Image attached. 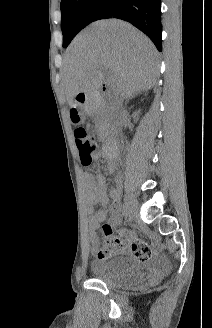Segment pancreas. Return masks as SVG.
<instances>
[{"instance_id": "cf45deb5", "label": "pancreas", "mask_w": 212, "mask_h": 328, "mask_svg": "<svg viewBox=\"0 0 212 328\" xmlns=\"http://www.w3.org/2000/svg\"><path fill=\"white\" fill-rule=\"evenodd\" d=\"M111 114L105 105L98 107L95 118V126L100 136H105L111 129Z\"/></svg>"}]
</instances>
